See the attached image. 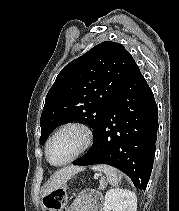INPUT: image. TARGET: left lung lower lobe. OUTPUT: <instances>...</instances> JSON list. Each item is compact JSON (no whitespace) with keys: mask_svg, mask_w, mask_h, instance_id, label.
Listing matches in <instances>:
<instances>
[{"mask_svg":"<svg viewBox=\"0 0 179 211\" xmlns=\"http://www.w3.org/2000/svg\"><path fill=\"white\" fill-rule=\"evenodd\" d=\"M158 130L154 95L133 61L108 105L90 150L73 165L107 164L145 190L151 175Z\"/></svg>","mask_w":179,"mask_h":211,"instance_id":"left-lung-lower-lobe-1","label":"left lung lower lobe"}]
</instances>
